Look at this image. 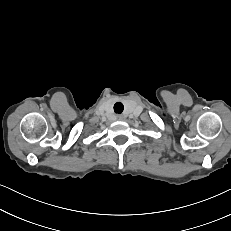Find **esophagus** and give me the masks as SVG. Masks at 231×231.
<instances>
[{
    "label": "esophagus",
    "instance_id": "1",
    "mask_svg": "<svg viewBox=\"0 0 231 231\" xmlns=\"http://www.w3.org/2000/svg\"><path fill=\"white\" fill-rule=\"evenodd\" d=\"M118 119H119V120H122V117H121V116H119V117H118Z\"/></svg>",
    "mask_w": 231,
    "mask_h": 231
}]
</instances>
